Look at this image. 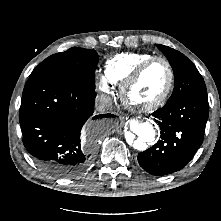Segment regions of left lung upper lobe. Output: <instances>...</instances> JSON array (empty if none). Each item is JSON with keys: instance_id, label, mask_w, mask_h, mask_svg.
<instances>
[{"instance_id": "5c2ea615", "label": "left lung upper lobe", "mask_w": 221, "mask_h": 221, "mask_svg": "<svg viewBox=\"0 0 221 221\" xmlns=\"http://www.w3.org/2000/svg\"><path fill=\"white\" fill-rule=\"evenodd\" d=\"M167 57L174 73V90L168 102H174L193 93H207L205 82L196 66L182 53L156 44Z\"/></svg>"}]
</instances>
